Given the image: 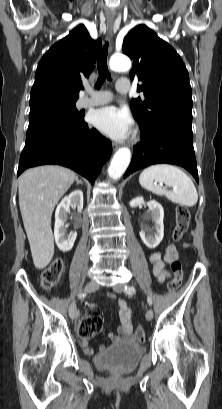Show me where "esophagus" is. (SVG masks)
Here are the masks:
<instances>
[{
  "label": "esophagus",
  "instance_id": "34e87169",
  "mask_svg": "<svg viewBox=\"0 0 222 409\" xmlns=\"http://www.w3.org/2000/svg\"><path fill=\"white\" fill-rule=\"evenodd\" d=\"M107 26H108V30H109V33H110V46H109V54H111L112 53V51H113V31H114V25H113V21H108L107 22ZM118 149V145H116V144H114L113 145V150L115 151V150H117Z\"/></svg>",
  "mask_w": 222,
  "mask_h": 409
}]
</instances>
